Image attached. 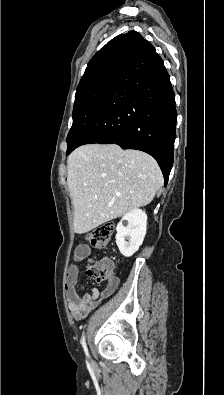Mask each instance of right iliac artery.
Returning a JSON list of instances; mask_svg holds the SVG:
<instances>
[{"mask_svg":"<svg viewBox=\"0 0 224 395\" xmlns=\"http://www.w3.org/2000/svg\"><path fill=\"white\" fill-rule=\"evenodd\" d=\"M81 344H82V347H83L85 353L88 354V350H87V346H86V341H85V336L84 335L82 336Z\"/></svg>","mask_w":224,"mask_h":395,"instance_id":"right-iliac-artery-1","label":"right iliac artery"}]
</instances>
